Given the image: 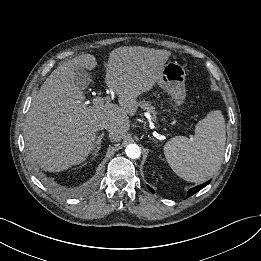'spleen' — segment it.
Segmentation results:
<instances>
[{
	"label": "spleen",
	"mask_w": 261,
	"mask_h": 261,
	"mask_svg": "<svg viewBox=\"0 0 261 261\" xmlns=\"http://www.w3.org/2000/svg\"><path fill=\"white\" fill-rule=\"evenodd\" d=\"M225 121L219 110L211 111L195 128L192 140L177 136L164 146L173 171L182 179L201 183L220 167L225 150Z\"/></svg>",
	"instance_id": "1"
}]
</instances>
